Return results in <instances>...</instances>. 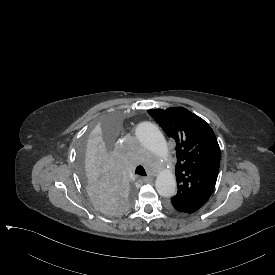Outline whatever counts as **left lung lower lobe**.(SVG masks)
Returning a JSON list of instances; mask_svg holds the SVG:
<instances>
[{
	"label": "left lung lower lobe",
	"instance_id": "left-lung-lower-lobe-1",
	"mask_svg": "<svg viewBox=\"0 0 275 275\" xmlns=\"http://www.w3.org/2000/svg\"><path fill=\"white\" fill-rule=\"evenodd\" d=\"M169 210L172 211L173 213H188L186 211H183V210L173 207V206H169Z\"/></svg>",
	"mask_w": 275,
	"mask_h": 275
}]
</instances>
